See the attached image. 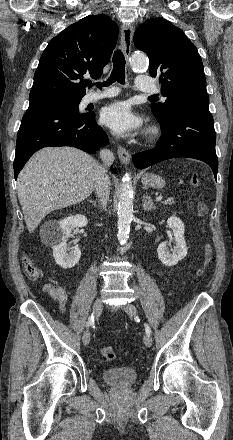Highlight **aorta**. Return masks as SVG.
Returning a JSON list of instances; mask_svg holds the SVG:
<instances>
[{"label": "aorta", "instance_id": "1", "mask_svg": "<svg viewBox=\"0 0 233 440\" xmlns=\"http://www.w3.org/2000/svg\"><path fill=\"white\" fill-rule=\"evenodd\" d=\"M148 59L142 53L133 54L130 58V65L135 71H145L148 68ZM133 218V190L129 175L123 178L120 188L118 203V240L121 244L126 243L129 238L130 225Z\"/></svg>", "mask_w": 233, "mask_h": 440}]
</instances>
